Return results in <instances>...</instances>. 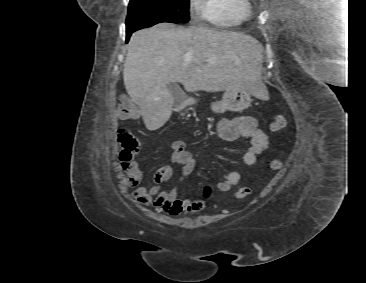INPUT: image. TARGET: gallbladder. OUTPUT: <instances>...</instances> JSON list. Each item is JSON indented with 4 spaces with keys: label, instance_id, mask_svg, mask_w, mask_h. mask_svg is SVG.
Segmentation results:
<instances>
[{
    "label": "gallbladder",
    "instance_id": "obj_1",
    "mask_svg": "<svg viewBox=\"0 0 366 283\" xmlns=\"http://www.w3.org/2000/svg\"><path fill=\"white\" fill-rule=\"evenodd\" d=\"M169 89L174 99V106L175 107L180 106L183 102V95L181 89L174 83H170Z\"/></svg>",
    "mask_w": 366,
    "mask_h": 283
}]
</instances>
